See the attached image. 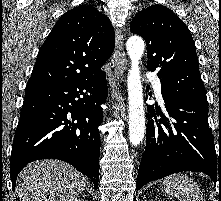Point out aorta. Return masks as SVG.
<instances>
[{
    "instance_id": "1",
    "label": "aorta",
    "mask_w": 221,
    "mask_h": 201,
    "mask_svg": "<svg viewBox=\"0 0 221 201\" xmlns=\"http://www.w3.org/2000/svg\"><path fill=\"white\" fill-rule=\"evenodd\" d=\"M127 52L131 60V68L128 75V100H129V141L133 146H138L145 133V117L143 103V89L139 71L145 44L142 38L132 36L127 40Z\"/></svg>"
}]
</instances>
